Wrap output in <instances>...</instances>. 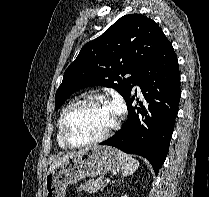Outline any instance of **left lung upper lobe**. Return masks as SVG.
Listing matches in <instances>:
<instances>
[{"instance_id":"1","label":"left lung upper lobe","mask_w":209,"mask_h":197,"mask_svg":"<svg viewBox=\"0 0 209 197\" xmlns=\"http://www.w3.org/2000/svg\"><path fill=\"white\" fill-rule=\"evenodd\" d=\"M166 39L160 27L144 15L121 17L100 37L86 43L66 69L55 94V109L86 86L114 88L126 99ZM127 74L131 76L124 77Z\"/></svg>"}]
</instances>
